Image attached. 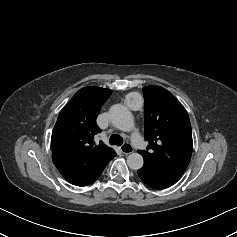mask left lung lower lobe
I'll return each mask as SVG.
<instances>
[{"label": "left lung lower lobe", "instance_id": "obj_1", "mask_svg": "<svg viewBox=\"0 0 237 237\" xmlns=\"http://www.w3.org/2000/svg\"><path fill=\"white\" fill-rule=\"evenodd\" d=\"M138 175L145 184L154 189L170 187L181 177L145 162L144 166L138 170Z\"/></svg>", "mask_w": 237, "mask_h": 237}]
</instances>
